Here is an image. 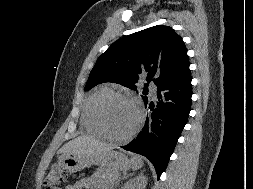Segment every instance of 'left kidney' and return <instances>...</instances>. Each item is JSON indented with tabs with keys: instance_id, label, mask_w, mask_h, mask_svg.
<instances>
[{
	"instance_id": "5707ae66",
	"label": "left kidney",
	"mask_w": 253,
	"mask_h": 189,
	"mask_svg": "<svg viewBox=\"0 0 253 189\" xmlns=\"http://www.w3.org/2000/svg\"><path fill=\"white\" fill-rule=\"evenodd\" d=\"M147 178L144 175H140L130 181H128L122 189H145Z\"/></svg>"
}]
</instances>
